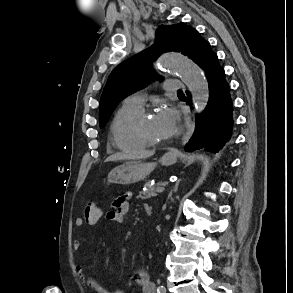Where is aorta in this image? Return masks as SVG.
<instances>
[{
	"mask_svg": "<svg viewBox=\"0 0 293 293\" xmlns=\"http://www.w3.org/2000/svg\"><path fill=\"white\" fill-rule=\"evenodd\" d=\"M158 66L179 75L191 92L198 113L205 109L209 100V87L201 69L196 64L181 54L167 53L160 57Z\"/></svg>",
	"mask_w": 293,
	"mask_h": 293,
	"instance_id": "762f6f07",
	"label": "aorta"
}]
</instances>
